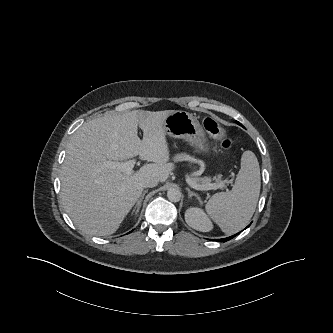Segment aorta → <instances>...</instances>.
<instances>
[{
    "instance_id": "aorta-1",
    "label": "aorta",
    "mask_w": 333,
    "mask_h": 333,
    "mask_svg": "<svg viewBox=\"0 0 333 333\" xmlns=\"http://www.w3.org/2000/svg\"><path fill=\"white\" fill-rule=\"evenodd\" d=\"M167 197L172 202H178L181 198V192L177 188H170L167 192Z\"/></svg>"
}]
</instances>
